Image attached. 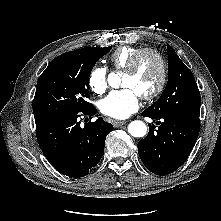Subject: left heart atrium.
Returning <instances> with one entry per match:
<instances>
[{
  "label": "left heart atrium",
  "mask_w": 221,
  "mask_h": 221,
  "mask_svg": "<svg viewBox=\"0 0 221 221\" xmlns=\"http://www.w3.org/2000/svg\"><path fill=\"white\" fill-rule=\"evenodd\" d=\"M140 96L130 87L110 92L99 102L100 111L115 119H125L139 108Z\"/></svg>",
  "instance_id": "obj_1"
}]
</instances>
